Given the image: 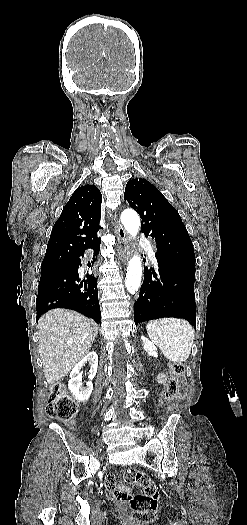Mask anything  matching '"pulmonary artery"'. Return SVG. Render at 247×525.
Listing matches in <instances>:
<instances>
[{
  "mask_svg": "<svg viewBox=\"0 0 247 525\" xmlns=\"http://www.w3.org/2000/svg\"><path fill=\"white\" fill-rule=\"evenodd\" d=\"M142 247L147 253V258L151 266L156 267L159 265L160 260L156 257V241L152 238H142Z\"/></svg>",
  "mask_w": 247,
  "mask_h": 525,
  "instance_id": "pulmonary-artery-1",
  "label": "pulmonary artery"
}]
</instances>
